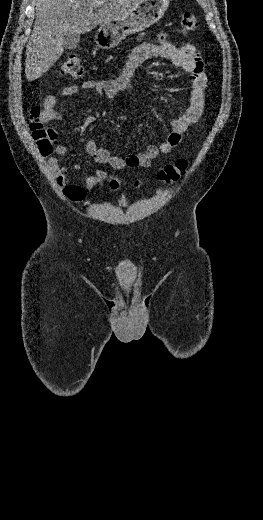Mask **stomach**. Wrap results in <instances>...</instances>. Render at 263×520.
<instances>
[{
  "label": "stomach",
  "mask_w": 263,
  "mask_h": 520,
  "mask_svg": "<svg viewBox=\"0 0 263 520\" xmlns=\"http://www.w3.org/2000/svg\"><path fill=\"white\" fill-rule=\"evenodd\" d=\"M170 0H142L123 16L102 23L96 31L99 48L117 46L126 36L139 33L158 22L169 6Z\"/></svg>",
  "instance_id": "stomach-1"
}]
</instances>
